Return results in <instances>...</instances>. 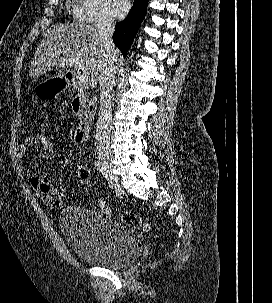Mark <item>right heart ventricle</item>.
Returning a JSON list of instances; mask_svg holds the SVG:
<instances>
[{"instance_id":"right-heart-ventricle-1","label":"right heart ventricle","mask_w":272,"mask_h":303,"mask_svg":"<svg viewBox=\"0 0 272 303\" xmlns=\"http://www.w3.org/2000/svg\"><path fill=\"white\" fill-rule=\"evenodd\" d=\"M68 7L72 12L73 17L77 21H80V22L86 21L84 9L79 0H69Z\"/></svg>"}]
</instances>
